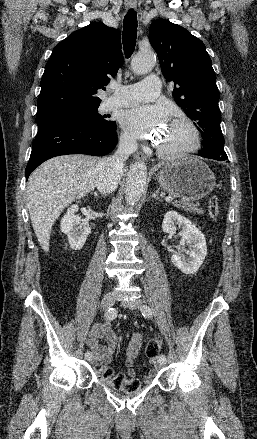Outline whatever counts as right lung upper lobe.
Wrapping results in <instances>:
<instances>
[{
    "label": "right lung upper lobe",
    "mask_w": 257,
    "mask_h": 439,
    "mask_svg": "<svg viewBox=\"0 0 257 439\" xmlns=\"http://www.w3.org/2000/svg\"><path fill=\"white\" fill-rule=\"evenodd\" d=\"M123 62L121 35L93 22L60 42L48 60L37 100L36 120L99 106L105 89Z\"/></svg>",
    "instance_id": "1"
}]
</instances>
